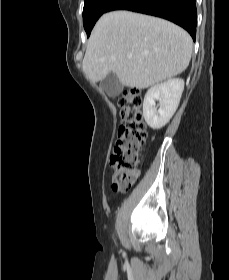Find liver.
<instances>
[{
  "instance_id": "liver-1",
  "label": "liver",
  "mask_w": 229,
  "mask_h": 280,
  "mask_svg": "<svg viewBox=\"0 0 229 280\" xmlns=\"http://www.w3.org/2000/svg\"><path fill=\"white\" fill-rule=\"evenodd\" d=\"M192 49L190 35L169 21L114 11L96 23L82 67L93 83L113 72L122 85L145 89L182 73Z\"/></svg>"
}]
</instances>
